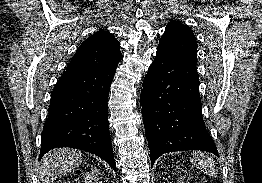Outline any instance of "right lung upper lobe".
Returning <instances> with one entry per match:
<instances>
[{"label":"right lung upper lobe","instance_id":"1","mask_svg":"<svg viewBox=\"0 0 262 183\" xmlns=\"http://www.w3.org/2000/svg\"><path fill=\"white\" fill-rule=\"evenodd\" d=\"M122 57L114 35L100 30L83 41L66 70L109 69L117 66Z\"/></svg>","mask_w":262,"mask_h":183}]
</instances>
